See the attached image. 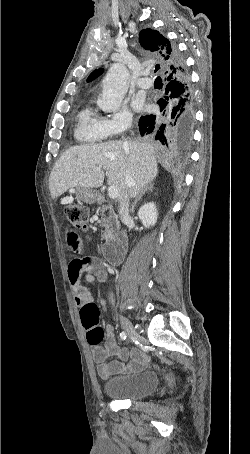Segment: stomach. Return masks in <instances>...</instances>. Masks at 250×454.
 Masks as SVG:
<instances>
[{
	"label": "stomach",
	"mask_w": 250,
	"mask_h": 454,
	"mask_svg": "<svg viewBox=\"0 0 250 454\" xmlns=\"http://www.w3.org/2000/svg\"><path fill=\"white\" fill-rule=\"evenodd\" d=\"M98 198L97 192L91 188H78L77 199L86 203H95Z\"/></svg>",
	"instance_id": "1"
}]
</instances>
